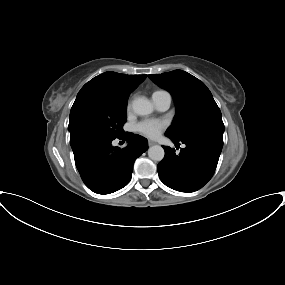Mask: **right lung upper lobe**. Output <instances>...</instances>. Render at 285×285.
Instances as JSON below:
<instances>
[{"label": "right lung upper lobe", "instance_id": "cb5924a9", "mask_svg": "<svg viewBox=\"0 0 285 285\" xmlns=\"http://www.w3.org/2000/svg\"><path fill=\"white\" fill-rule=\"evenodd\" d=\"M145 78L146 75H125L116 72L102 73L82 87L73 106L85 98H94L114 103H127L129 94Z\"/></svg>", "mask_w": 285, "mask_h": 285}]
</instances>
